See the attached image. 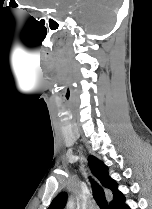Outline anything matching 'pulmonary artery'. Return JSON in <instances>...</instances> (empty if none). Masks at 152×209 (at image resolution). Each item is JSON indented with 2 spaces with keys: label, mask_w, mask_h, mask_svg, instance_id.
<instances>
[{
  "label": "pulmonary artery",
  "mask_w": 152,
  "mask_h": 209,
  "mask_svg": "<svg viewBox=\"0 0 152 209\" xmlns=\"http://www.w3.org/2000/svg\"><path fill=\"white\" fill-rule=\"evenodd\" d=\"M89 209H97V206L95 204H92L89 206Z\"/></svg>",
  "instance_id": "1"
}]
</instances>
